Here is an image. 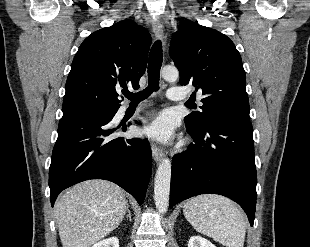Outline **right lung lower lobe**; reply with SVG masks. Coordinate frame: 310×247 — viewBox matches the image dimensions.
<instances>
[{"label":"right lung lower lobe","instance_id":"98d812e1","mask_svg":"<svg viewBox=\"0 0 310 247\" xmlns=\"http://www.w3.org/2000/svg\"><path fill=\"white\" fill-rule=\"evenodd\" d=\"M116 112L60 119L49 169L52 206L62 190L88 179L114 182L143 203L152 168L150 145L147 139L116 137L117 129L110 126Z\"/></svg>","mask_w":310,"mask_h":247}]
</instances>
